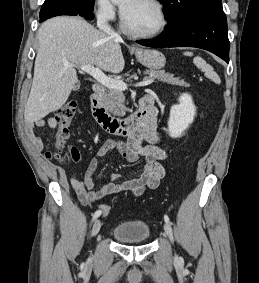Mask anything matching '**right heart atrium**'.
I'll return each instance as SVG.
<instances>
[{
	"instance_id": "obj_1",
	"label": "right heart atrium",
	"mask_w": 259,
	"mask_h": 283,
	"mask_svg": "<svg viewBox=\"0 0 259 283\" xmlns=\"http://www.w3.org/2000/svg\"><path fill=\"white\" fill-rule=\"evenodd\" d=\"M94 12L98 19L112 21L116 17V8L111 0H95Z\"/></svg>"
}]
</instances>
